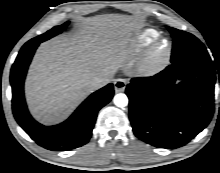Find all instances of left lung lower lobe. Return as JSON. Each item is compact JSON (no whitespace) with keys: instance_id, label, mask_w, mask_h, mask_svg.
Here are the masks:
<instances>
[{"instance_id":"1","label":"left lung lower lobe","mask_w":220,"mask_h":173,"mask_svg":"<svg viewBox=\"0 0 220 173\" xmlns=\"http://www.w3.org/2000/svg\"><path fill=\"white\" fill-rule=\"evenodd\" d=\"M171 62L152 77L133 78L126 88L134 134L166 149L186 145L209 124L216 80L210 57ZM176 79L182 81L175 84Z\"/></svg>"}]
</instances>
